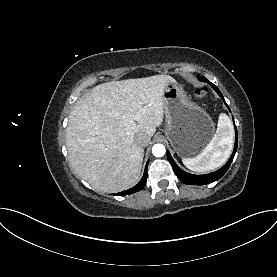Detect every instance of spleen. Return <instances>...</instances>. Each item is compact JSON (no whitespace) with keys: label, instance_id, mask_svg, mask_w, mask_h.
I'll return each instance as SVG.
<instances>
[{"label":"spleen","instance_id":"1","mask_svg":"<svg viewBox=\"0 0 277 277\" xmlns=\"http://www.w3.org/2000/svg\"><path fill=\"white\" fill-rule=\"evenodd\" d=\"M234 139V130L230 118L221 113L217 130L204 150L194 158H183V164L195 172H206L219 168L229 158Z\"/></svg>","mask_w":277,"mask_h":277}]
</instances>
